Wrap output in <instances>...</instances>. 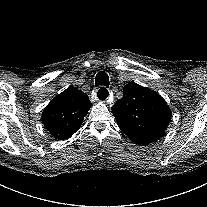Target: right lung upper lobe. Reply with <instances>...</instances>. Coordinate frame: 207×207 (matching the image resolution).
Returning a JSON list of instances; mask_svg holds the SVG:
<instances>
[{"instance_id": "1", "label": "right lung upper lobe", "mask_w": 207, "mask_h": 207, "mask_svg": "<svg viewBox=\"0 0 207 207\" xmlns=\"http://www.w3.org/2000/svg\"><path fill=\"white\" fill-rule=\"evenodd\" d=\"M91 106L86 93L71 87L50 101L41 119L56 139L63 140L70 138L80 128Z\"/></svg>"}]
</instances>
